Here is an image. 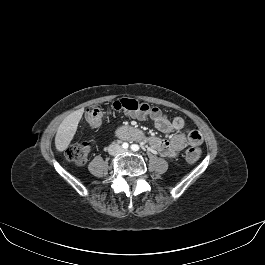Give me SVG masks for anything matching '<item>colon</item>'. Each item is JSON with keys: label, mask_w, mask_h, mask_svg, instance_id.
Segmentation results:
<instances>
[{"label": "colon", "mask_w": 265, "mask_h": 265, "mask_svg": "<svg viewBox=\"0 0 265 265\" xmlns=\"http://www.w3.org/2000/svg\"><path fill=\"white\" fill-rule=\"evenodd\" d=\"M110 111H123L150 118L162 115L157 107L151 106L146 102H140L133 98H121L107 106H94L88 109L86 112V120L89 124L97 126L102 122L104 114ZM90 152L91 144L88 141H75L68 146L65 155L68 160L83 164L87 161ZM200 156L201 150L195 146L189 148L186 152V158L190 162L198 160Z\"/></svg>", "instance_id": "obj_1"}]
</instances>
